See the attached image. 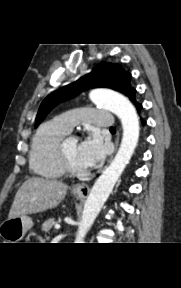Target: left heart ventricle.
I'll list each match as a JSON object with an SVG mask.
<instances>
[{
  "instance_id": "obj_1",
  "label": "left heart ventricle",
  "mask_w": 181,
  "mask_h": 288,
  "mask_svg": "<svg viewBox=\"0 0 181 288\" xmlns=\"http://www.w3.org/2000/svg\"><path fill=\"white\" fill-rule=\"evenodd\" d=\"M78 141L75 138H71L66 141L64 145L65 153L73 164L74 167L78 169H83V166L79 163L77 158Z\"/></svg>"
}]
</instances>
